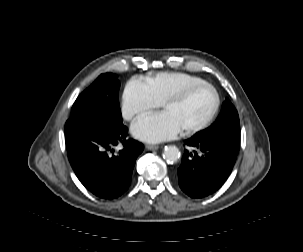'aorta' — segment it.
I'll list each match as a JSON object with an SVG mask.
<instances>
[{
    "instance_id": "aorta-1",
    "label": "aorta",
    "mask_w": 303,
    "mask_h": 252,
    "mask_svg": "<svg viewBox=\"0 0 303 252\" xmlns=\"http://www.w3.org/2000/svg\"><path fill=\"white\" fill-rule=\"evenodd\" d=\"M163 158L170 164L177 162L180 158V151L176 146H166L163 152Z\"/></svg>"
}]
</instances>
